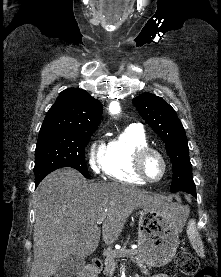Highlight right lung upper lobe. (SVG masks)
Masks as SVG:
<instances>
[{
	"label": "right lung upper lobe",
	"instance_id": "1",
	"mask_svg": "<svg viewBox=\"0 0 221 277\" xmlns=\"http://www.w3.org/2000/svg\"><path fill=\"white\" fill-rule=\"evenodd\" d=\"M101 116L98 100L85 90L69 88L59 94L40 130H96Z\"/></svg>",
	"mask_w": 221,
	"mask_h": 277
}]
</instances>
